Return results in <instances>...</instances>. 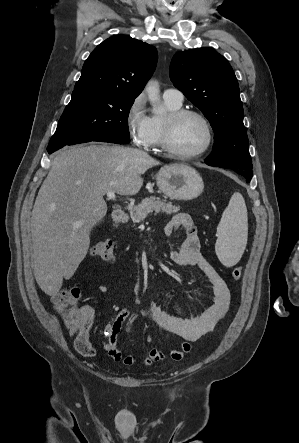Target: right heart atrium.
Here are the masks:
<instances>
[{
	"label": "right heart atrium",
	"mask_w": 299,
	"mask_h": 443,
	"mask_svg": "<svg viewBox=\"0 0 299 443\" xmlns=\"http://www.w3.org/2000/svg\"><path fill=\"white\" fill-rule=\"evenodd\" d=\"M124 122L133 144L146 147L151 135V119L146 111L143 94L137 95L130 102L125 112Z\"/></svg>",
	"instance_id": "right-heart-atrium-1"
}]
</instances>
